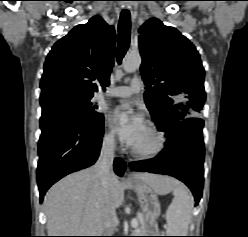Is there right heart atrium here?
Returning <instances> with one entry per match:
<instances>
[{"label": "right heart atrium", "mask_w": 248, "mask_h": 237, "mask_svg": "<svg viewBox=\"0 0 248 237\" xmlns=\"http://www.w3.org/2000/svg\"><path fill=\"white\" fill-rule=\"evenodd\" d=\"M103 143L109 148H114L116 146V137L113 131L107 130L103 136Z\"/></svg>", "instance_id": "1"}]
</instances>
